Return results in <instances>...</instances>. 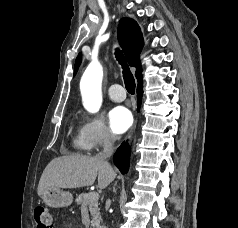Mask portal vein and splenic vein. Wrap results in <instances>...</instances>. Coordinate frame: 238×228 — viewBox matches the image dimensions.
Instances as JSON below:
<instances>
[{"mask_svg":"<svg viewBox=\"0 0 238 228\" xmlns=\"http://www.w3.org/2000/svg\"><path fill=\"white\" fill-rule=\"evenodd\" d=\"M89 198L92 199V200H98L99 195H98L97 192H91V193L89 194Z\"/></svg>","mask_w":238,"mask_h":228,"instance_id":"obj_1","label":"portal vein and splenic vein"}]
</instances>
